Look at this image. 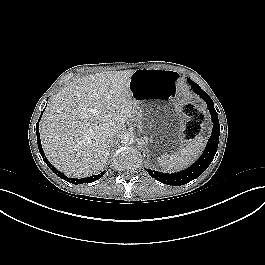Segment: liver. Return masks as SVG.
<instances>
[{
  "label": "liver",
  "mask_w": 265,
  "mask_h": 265,
  "mask_svg": "<svg viewBox=\"0 0 265 265\" xmlns=\"http://www.w3.org/2000/svg\"><path fill=\"white\" fill-rule=\"evenodd\" d=\"M134 70L103 72L79 78L59 90L42 117L40 136L49 161L67 176L102 171L110 148L101 133L111 123L117 133L136 116L129 88Z\"/></svg>",
  "instance_id": "1"
}]
</instances>
